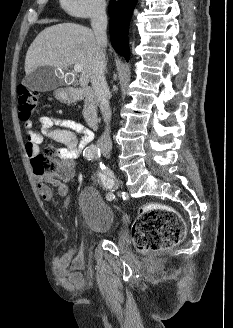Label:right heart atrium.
<instances>
[{
  "mask_svg": "<svg viewBox=\"0 0 233 328\" xmlns=\"http://www.w3.org/2000/svg\"><path fill=\"white\" fill-rule=\"evenodd\" d=\"M64 10L78 18L96 17L104 13L105 0H60Z\"/></svg>",
  "mask_w": 233,
  "mask_h": 328,
  "instance_id": "right-heart-atrium-1",
  "label": "right heart atrium"
}]
</instances>
